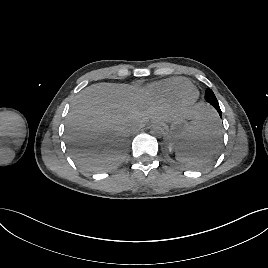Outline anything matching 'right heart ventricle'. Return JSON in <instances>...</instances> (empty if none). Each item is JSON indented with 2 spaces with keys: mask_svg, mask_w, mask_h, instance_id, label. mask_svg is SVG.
Here are the masks:
<instances>
[{
  "mask_svg": "<svg viewBox=\"0 0 268 268\" xmlns=\"http://www.w3.org/2000/svg\"><path fill=\"white\" fill-rule=\"evenodd\" d=\"M191 87V83L181 77L170 78L153 86V91L170 99L178 98L183 91Z\"/></svg>",
  "mask_w": 268,
  "mask_h": 268,
  "instance_id": "obj_1",
  "label": "right heart ventricle"
}]
</instances>
